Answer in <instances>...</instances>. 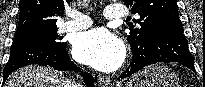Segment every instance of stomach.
<instances>
[{
	"mask_svg": "<svg viewBox=\"0 0 205 87\" xmlns=\"http://www.w3.org/2000/svg\"><path fill=\"white\" fill-rule=\"evenodd\" d=\"M125 87H180V85L175 72L163 64H156L134 74Z\"/></svg>",
	"mask_w": 205,
	"mask_h": 87,
	"instance_id": "0dacf381",
	"label": "stomach"
}]
</instances>
